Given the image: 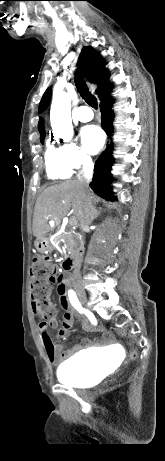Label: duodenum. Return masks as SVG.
<instances>
[{
	"label": "duodenum",
	"instance_id": "obj_1",
	"mask_svg": "<svg viewBox=\"0 0 165 461\" xmlns=\"http://www.w3.org/2000/svg\"><path fill=\"white\" fill-rule=\"evenodd\" d=\"M82 252H83L82 247L78 246L76 252L71 257L66 259L65 261L66 270L70 271L76 267L77 261L81 257Z\"/></svg>",
	"mask_w": 165,
	"mask_h": 461
}]
</instances>
